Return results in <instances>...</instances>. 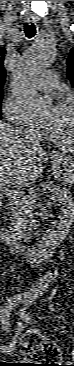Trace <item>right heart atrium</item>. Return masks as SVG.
Listing matches in <instances>:
<instances>
[{
	"label": "right heart atrium",
	"instance_id": "d8ad5b80",
	"mask_svg": "<svg viewBox=\"0 0 74 366\" xmlns=\"http://www.w3.org/2000/svg\"><path fill=\"white\" fill-rule=\"evenodd\" d=\"M3 114L5 118L15 126L35 133L32 123L25 116L21 102L14 97H7L3 104Z\"/></svg>",
	"mask_w": 74,
	"mask_h": 366
}]
</instances>
